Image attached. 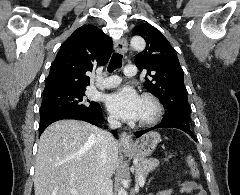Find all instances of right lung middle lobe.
Masks as SVG:
<instances>
[{"label": "right lung middle lobe", "mask_w": 240, "mask_h": 195, "mask_svg": "<svg viewBox=\"0 0 240 195\" xmlns=\"http://www.w3.org/2000/svg\"><path fill=\"white\" fill-rule=\"evenodd\" d=\"M85 88L64 90L43 95L41 115L70 110H100L98 103L86 99Z\"/></svg>", "instance_id": "right-lung-middle-lobe-1"}]
</instances>
